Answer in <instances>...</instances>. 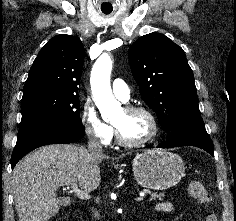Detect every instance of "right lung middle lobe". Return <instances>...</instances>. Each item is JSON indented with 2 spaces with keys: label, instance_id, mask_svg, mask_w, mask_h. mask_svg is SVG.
I'll use <instances>...</instances> for the list:
<instances>
[{
  "label": "right lung middle lobe",
  "instance_id": "1",
  "mask_svg": "<svg viewBox=\"0 0 236 221\" xmlns=\"http://www.w3.org/2000/svg\"><path fill=\"white\" fill-rule=\"evenodd\" d=\"M21 111V125L38 120H49L65 123L74 128L83 127L77 93L42 90L24 94Z\"/></svg>",
  "mask_w": 236,
  "mask_h": 221
}]
</instances>
